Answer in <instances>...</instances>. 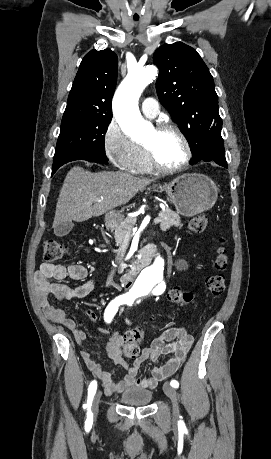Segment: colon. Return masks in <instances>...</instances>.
<instances>
[{
    "label": "colon",
    "instance_id": "colon-1",
    "mask_svg": "<svg viewBox=\"0 0 271 459\" xmlns=\"http://www.w3.org/2000/svg\"><path fill=\"white\" fill-rule=\"evenodd\" d=\"M209 223V217L206 213L194 216L189 222V229L193 232H202ZM67 247L56 239H47L43 244V258L47 262L57 261L67 254ZM216 267L224 270L228 266L227 251L220 247L217 252L215 261ZM207 291L213 296H219L223 293L225 287V278L221 274L208 276L205 280ZM171 302H182L190 304L193 296L191 293L181 292L173 289L167 295ZM144 339V332L141 328L128 330L124 335V354L128 358H135L140 351V344Z\"/></svg>",
    "mask_w": 271,
    "mask_h": 459
}]
</instances>
